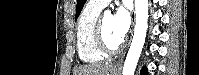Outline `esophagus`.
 Returning a JSON list of instances; mask_svg holds the SVG:
<instances>
[{
	"mask_svg": "<svg viewBox=\"0 0 199 75\" xmlns=\"http://www.w3.org/2000/svg\"><path fill=\"white\" fill-rule=\"evenodd\" d=\"M132 20H135V14H132ZM134 23V22H133ZM123 58H124V54L121 56V58L119 59V62H118V65L120 66L122 61H123Z\"/></svg>",
	"mask_w": 199,
	"mask_h": 75,
	"instance_id": "1",
	"label": "esophagus"
}]
</instances>
